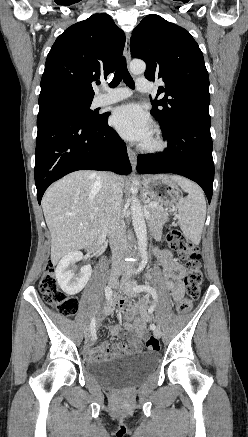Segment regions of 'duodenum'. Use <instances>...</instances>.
<instances>
[{
  "instance_id": "410a0bca",
  "label": "duodenum",
  "mask_w": 248,
  "mask_h": 437,
  "mask_svg": "<svg viewBox=\"0 0 248 437\" xmlns=\"http://www.w3.org/2000/svg\"><path fill=\"white\" fill-rule=\"evenodd\" d=\"M104 239H105V233H102V234L100 235L99 240H100V241H103Z\"/></svg>"
}]
</instances>
